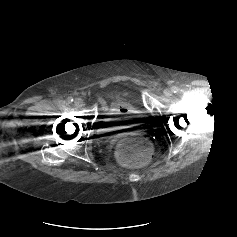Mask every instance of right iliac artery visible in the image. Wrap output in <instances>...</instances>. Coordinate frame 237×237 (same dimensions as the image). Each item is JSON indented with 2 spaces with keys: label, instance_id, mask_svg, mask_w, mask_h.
I'll return each mask as SVG.
<instances>
[{
  "label": "right iliac artery",
  "instance_id": "right-iliac-artery-1",
  "mask_svg": "<svg viewBox=\"0 0 237 237\" xmlns=\"http://www.w3.org/2000/svg\"><path fill=\"white\" fill-rule=\"evenodd\" d=\"M67 102H68V103H72V102H73V98H72V97H68V98H67Z\"/></svg>",
  "mask_w": 237,
  "mask_h": 237
}]
</instances>
